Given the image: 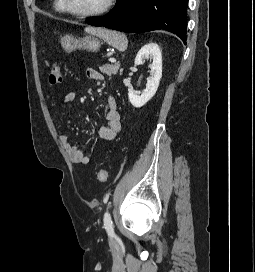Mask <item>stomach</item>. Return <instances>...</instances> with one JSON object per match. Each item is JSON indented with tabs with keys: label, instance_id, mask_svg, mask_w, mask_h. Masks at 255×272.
<instances>
[{
	"label": "stomach",
	"instance_id": "0dacf381",
	"mask_svg": "<svg viewBox=\"0 0 255 272\" xmlns=\"http://www.w3.org/2000/svg\"><path fill=\"white\" fill-rule=\"evenodd\" d=\"M61 45L67 52H73L78 49L97 52L101 46V41L93 36L77 39L71 35H65L61 38Z\"/></svg>",
	"mask_w": 255,
	"mask_h": 272
}]
</instances>
